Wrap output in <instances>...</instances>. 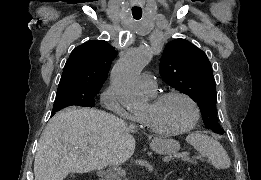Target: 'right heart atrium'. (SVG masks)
I'll return each instance as SVG.
<instances>
[{"label": "right heart atrium", "mask_w": 261, "mask_h": 180, "mask_svg": "<svg viewBox=\"0 0 261 180\" xmlns=\"http://www.w3.org/2000/svg\"><path fill=\"white\" fill-rule=\"evenodd\" d=\"M101 104L103 108H109V112H117L118 117H125V120L129 122L127 127L132 126L131 115L119 105L111 85L102 93Z\"/></svg>", "instance_id": "obj_1"}]
</instances>
